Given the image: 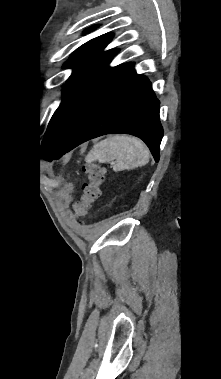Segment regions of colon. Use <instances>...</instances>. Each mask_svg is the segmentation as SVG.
<instances>
[{"mask_svg":"<svg viewBox=\"0 0 221 379\" xmlns=\"http://www.w3.org/2000/svg\"><path fill=\"white\" fill-rule=\"evenodd\" d=\"M88 181L83 185L81 200L75 205L77 216L84 217L95 201L101 196V185L105 181V171L94 163L84 165Z\"/></svg>","mask_w":221,"mask_h":379,"instance_id":"5ec220e1","label":"colon"}]
</instances>
